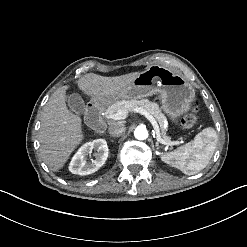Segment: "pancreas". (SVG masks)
Instances as JSON below:
<instances>
[{
  "label": "pancreas",
  "instance_id": "1",
  "mask_svg": "<svg viewBox=\"0 0 247 247\" xmlns=\"http://www.w3.org/2000/svg\"><path fill=\"white\" fill-rule=\"evenodd\" d=\"M136 107H142L144 108L147 112H149L151 115H153L156 120L159 122L161 128H162V133L165 141L169 142V137L165 135L166 130L163 128L164 120H165V115L162 113L161 109L159 108V105L155 102H151L148 99H141V100H122V101H117L110 105L105 111V116L108 117L110 114H115L117 113L118 110L120 109H127L128 111H132ZM111 121H109L110 123Z\"/></svg>",
  "mask_w": 247,
  "mask_h": 247
}]
</instances>
